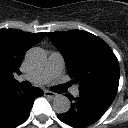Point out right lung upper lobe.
Segmentation results:
<instances>
[{"label": "right lung upper lobe", "instance_id": "1", "mask_svg": "<svg viewBox=\"0 0 128 128\" xmlns=\"http://www.w3.org/2000/svg\"><path fill=\"white\" fill-rule=\"evenodd\" d=\"M46 33H29L17 29H0V92L16 86L14 72L19 67L28 49L39 43Z\"/></svg>", "mask_w": 128, "mask_h": 128}]
</instances>
